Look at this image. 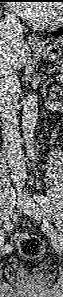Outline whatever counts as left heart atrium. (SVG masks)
I'll list each match as a JSON object with an SVG mask.
<instances>
[{
  "mask_svg": "<svg viewBox=\"0 0 63 297\" xmlns=\"http://www.w3.org/2000/svg\"><path fill=\"white\" fill-rule=\"evenodd\" d=\"M13 9L34 23L47 21L49 10L42 4L14 3Z\"/></svg>",
  "mask_w": 63,
  "mask_h": 297,
  "instance_id": "obj_1",
  "label": "left heart atrium"
}]
</instances>
